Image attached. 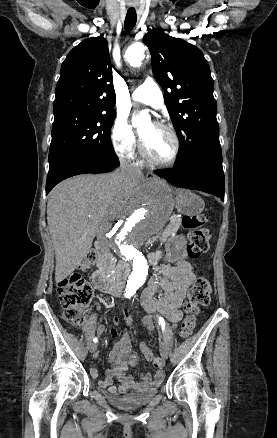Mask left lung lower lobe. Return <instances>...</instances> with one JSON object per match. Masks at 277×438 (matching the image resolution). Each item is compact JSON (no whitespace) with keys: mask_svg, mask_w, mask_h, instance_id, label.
Listing matches in <instances>:
<instances>
[{"mask_svg":"<svg viewBox=\"0 0 277 438\" xmlns=\"http://www.w3.org/2000/svg\"><path fill=\"white\" fill-rule=\"evenodd\" d=\"M156 174L174 186L211 193L224 200L222 152H209L187 166L158 170Z\"/></svg>","mask_w":277,"mask_h":438,"instance_id":"0a47b994","label":"left lung lower lobe"}]
</instances>
